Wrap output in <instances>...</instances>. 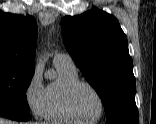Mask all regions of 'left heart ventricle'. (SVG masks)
I'll use <instances>...</instances> for the list:
<instances>
[{"instance_id":"left-heart-ventricle-1","label":"left heart ventricle","mask_w":156,"mask_h":124,"mask_svg":"<svg viewBox=\"0 0 156 124\" xmlns=\"http://www.w3.org/2000/svg\"><path fill=\"white\" fill-rule=\"evenodd\" d=\"M74 105L77 112L86 120L96 118L101 110L98 96L87 87H81L77 90Z\"/></svg>"}]
</instances>
